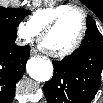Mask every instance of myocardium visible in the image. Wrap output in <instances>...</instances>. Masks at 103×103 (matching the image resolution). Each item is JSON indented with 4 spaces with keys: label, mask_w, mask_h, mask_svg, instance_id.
Returning a JSON list of instances; mask_svg holds the SVG:
<instances>
[{
    "label": "myocardium",
    "mask_w": 103,
    "mask_h": 103,
    "mask_svg": "<svg viewBox=\"0 0 103 103\" xmlns=\"http://www.w3.org/2000/svg\"><path fill=\"white\" fill-rule=\"evenodd\" d=\"M72 12H79L82 15L83 18V26H82V30L78 36V38L75 40V42L70 45L69 47H67L64 50H60V51H54L51 50L49 48H47L44 45V39L46 38V36L53 31L56 26L60 23V21L65 18L68 14L72 13ZM87 29H88V16L87 13L85 12L84 9L80 8V7H76V6H72L64 11H62L61 13H59L57 16H55L45 27L44 29L41 31L40 33V37H39V41H40V46L42 47V49L48 53L50 56L56 57V58H64L66 56L71 55L72 53H74L82 44L86 33H87Z\"/></svg>",
    "instance_id": "1"
}]
</instances>
